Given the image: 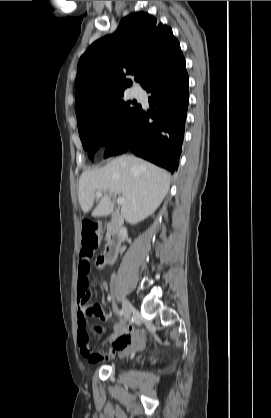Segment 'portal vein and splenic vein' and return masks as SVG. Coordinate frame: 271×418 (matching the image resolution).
<instances>
[{
	"mask_svg": "<svg viewBox=\"0 0 271 418\" xmlns=\"http://www.w3.org/2000/svg\"><path fill=\"white\" fill-rule=\"evenodd\" d=\"M96 196H97V197H101V196H102L101 191H97V192H96ZM115 198H116V195H115ZM116 202H117V204H118V205H123V204L125 203V199H124L123 197H118V198L116 199Z\"/></svg>",
	"mask_w": 271,
	"mask_h": 418,
	"instance_id": "obj_1",
	"label": "portal vein and splenic vein"
}]
</instances>
